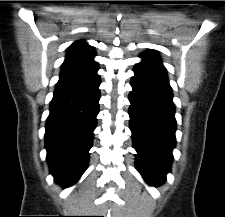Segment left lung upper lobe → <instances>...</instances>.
<instances>
[{
	"mask_svg": "<svg viewBox=\"0 0 225 217\" xmlns=\"http://www.w3.org/2000/svg\"><path fill=\"white\" fill-rule=\"evenodd\" d=\"M141 58L143 59L144 62H156L160 63L161 60L157 53L153 50H149L146 53H144Z\"/></svg>",
	"mask_w": 225,
	"mask_h": 217,
	"instance_id": "5c2ea615",
	"label": "left lung upper lobe"
}]
</instances>
